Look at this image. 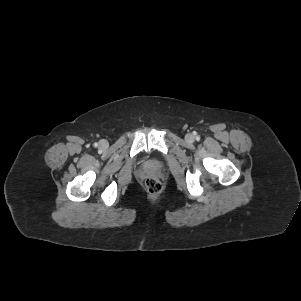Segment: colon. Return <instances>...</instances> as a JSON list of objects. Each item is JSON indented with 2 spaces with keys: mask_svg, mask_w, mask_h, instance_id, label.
Segmentation results:
<instances>
[{
  "mask_svg": "<svg viewBox=\"0 0 301 301\" xmlns=\"http://www.w3.org/2000/svg\"><path fill=\"white\" fill-rule=\"evenodd\" d=\"M145 188L148 191V193L152 195H157L162 191L163 186L158 179L148 178L145 181Z\"/></svg>",
  "mask_w": 301,
  "mask_h": 301,
  "instance_id": "1",
  "label": "colon"
}]
</instances>
